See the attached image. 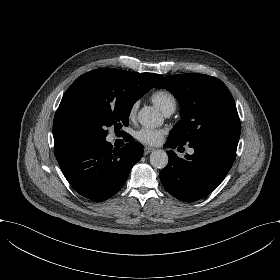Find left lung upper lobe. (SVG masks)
Returning a JSON list of instances; mask_svg holds the SVG:
<instances>
[{"label":"left lung upper lobe","mask_w":280,"mask_h":280,"mask_svg":"<svg viewBox=\"0 0 280 280\" xmlns=\"http://www.w3.org/2000/svg\"><path fill=\"white\" fill-rule=\"evenodd\" d=\"M156 88L167 89L180 104L181 120L169 137L183 145L216 138L239 140L241 125L235 101L219 79L198 73L170 75Z\"/></svg>","instance_id":"obj_1"}]
</instances>
